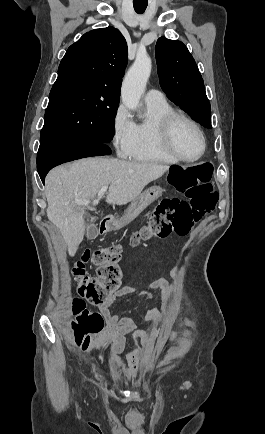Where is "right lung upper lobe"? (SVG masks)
<instances>
[{
	"mask_svg": "<svg viewBox=\"0 0 265 434\" xmlns=\"http://www.w3.org/2000/svg\"><path fill=\"white\" fill-rule=\"evenodd\" d=\"M127 55V43L118 29L92 30L68 48L56 82L88 80L120 92Z\"/></svg>",
	"mask_w": 265,
	"mask_h": 434,
	"instance_id": "right-lung-upper-lobe-1",
	"label": "right lung upper lobe"
}]
</instances>
